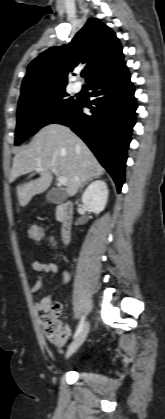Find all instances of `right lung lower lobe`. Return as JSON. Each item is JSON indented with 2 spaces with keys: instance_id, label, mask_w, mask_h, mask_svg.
I'll return each instance as SVG.
<instances>
[{
  "instance_id": "right-lung-lower-lobe-1",
  "label": "right lung lower lobe",
  "mask_w": 165,
  "mask_h": 419,
  "mask_svg": "<svg viewBox=\"0 0 165 419\" xmlns=\"http://www.w3.org/2000/svg\"><path fill=\"white\" fill-rule=\"evenodd\" d=\"M88 88L93 97L90 103L79 99L74 109L51 123L68 126L81 137L110 173L120 192L137 109L125 63L89 83ZM86 106L91 109L90 114L83 113Z\"/></svg>"
}]
</instances>
